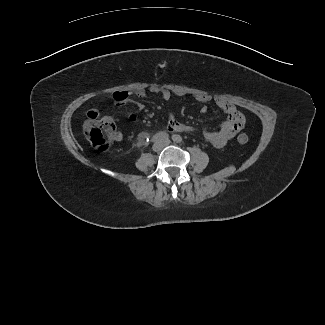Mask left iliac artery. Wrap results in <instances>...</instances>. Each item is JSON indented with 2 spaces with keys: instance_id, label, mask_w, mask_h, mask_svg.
<instances>
[{
  "instance_id": "obj_1",
  "label": "left iliac artery",
  "mask_w": 325,
  "mask_h": 325,
  "mask_svg": "<svg viewBox=\"0 0 325 325\" xmlns=\"http://www.w3.org/2000/svg\"><path fill=\"white\" fill-rule=\"evenodd\" d=\"M172 140L175 142H181V137L179 135H173Z\"/></svg>"
}]
</instances>
